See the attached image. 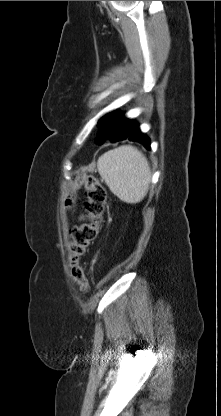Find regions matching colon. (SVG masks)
I'll use <instances>...</instances> for the list:
<instances>
[{"instance_id":"5ec220e1","label":"colon","mask_w":221,"mask_h":416,"mask_svg":"<svg viewBox=\"0 0 221 416\" xmlns=\"http://www.w3.org/2000/svg\"><path fill=\"white\" fill-rule=\"evenodd\" d=\"M82 185L86 190L85 211L89 218L71 230L69 269L71 277L77 282L80 289L86 292L88 282L79 261L86 249L99 235L107 206V193L98 178L93 175L78 176L74 181V187ZM74 202L75 196L71 192L66 199V205L72 207Z\"/></svg>"}]
</instances>
